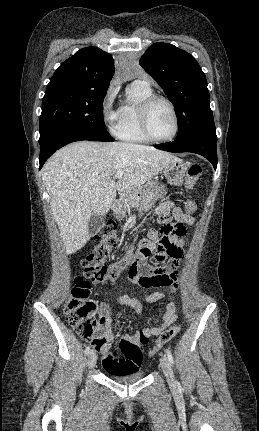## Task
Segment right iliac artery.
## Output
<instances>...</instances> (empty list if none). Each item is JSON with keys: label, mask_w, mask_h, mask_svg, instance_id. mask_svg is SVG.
<instances>
[{"label": "right iliac artery", "mask_w": 259, "mask_h": 431, "mask_svg": "<svg viewBox=\"0 0 259 431\" xmlns=\"http://www.w3.org/2000/svg\"><path fill=\"white\" fill-rule=\"evenodd\" d=\"M90 351H91L90 346H87L86 349H85L86 355H88L90 353Z\"/></svg>", "instance_id": "82829eb1"}]
</instances>
